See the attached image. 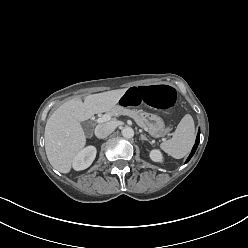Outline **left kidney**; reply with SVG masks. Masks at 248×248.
<instances>
[{"mask_svg": "<svg viewBox=\"0 0 248 248\" xmlns=\"http://www.w3.org/2000/svg\"><path fill=\"white\" fill-rule=\"evenodd\" d=\"M150 158L154 162H162L163 161V156H162L161 152L157 149L150 151Z\"/></svg>", "mask_w": 248, "mask_h": 248, "instance_id": "obj_1", "label": "left kidney"}]
</instances>
